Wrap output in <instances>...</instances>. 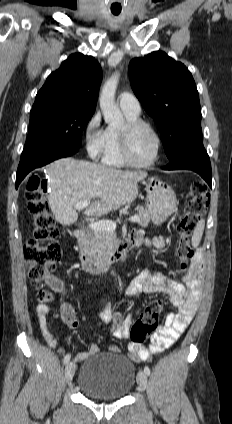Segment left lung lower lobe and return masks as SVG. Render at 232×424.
<instances>
[{
    "instance_id": "left-lung-lower-lobe-1",
    "label": "left lung lower lobe",
    "mask_w": 232,
    "mask_h": 424,
    "mask_svg": "<svg viewBox=\"0 0 232 424\" xmlns=\"http://www.w3.org/2000/svg\"><path fill=\"white\" fill-rule=\"evenodd\" d=\"M164 170L188 169L200 174L211 187L212 171L209 156L203 146L202 135L186 141L170 158Z\"/></svg>"
}]
</instances>
